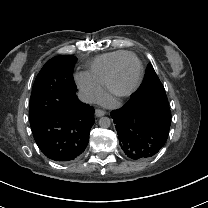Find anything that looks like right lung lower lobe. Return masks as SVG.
I'll return each mask as SVG.
<instances>
[{"label":"right lung lower lobe","mask_w":208,"mask_h":208,"mask_svg":"<svg viewBox=\"0 0 208 208\" xmlns=\"http://www.w3.org/2000/svg\"><path fill=\"white\" fill-rule=\"evenodd\" d=\"M58 107L43 117L30 121L39 149L51 160L71 162L79 157L89 142L94 109L77 96L58 101Z\"/></svg>","instance_id":"98d812e1"}]
</instances>
